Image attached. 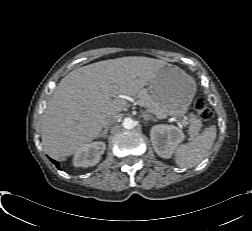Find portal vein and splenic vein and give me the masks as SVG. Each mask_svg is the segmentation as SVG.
Wrapping results in <instances>:
<instances>
[{
  "instance_id": "obj_1",
  "label": "portal vein and splenic vein",
  "mask_w": 252,
  "mask_h": 231,
  "mask_svg": "<svg viewBox=\"0 0 252 231\" xmlns=\"http://www.w3.org/2000/svg\"><path fill=\"white\" fill-rule=\"evenodd\" d=\"M179 126L181 129H184L186 127V121L183 120L182 122H179Z\"/></svg>"
}]
</instances>
